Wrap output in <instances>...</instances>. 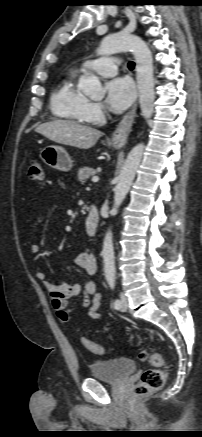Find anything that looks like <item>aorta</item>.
Instances as JSON below:
<instances>
[{
	"mask_svg": "<svg viewBox=\"0 0 202 437\" xmlns=\"http://www.w3.org/2000/svg\"><path fill=\"white\" fill-rule=\"evenodd\" d=\"M121 51H130L134 55L141 114L144 118H150L154 111L155 100L151 51L140 37L120 32L106 36L102 40L97 53L98 55H110ZM79 88L85 95L91 98H101L104 95L101 82L95 75L81 78ZM143 152L144 144L140 143L129 152L125 160L118 183L114 188V204L111 210L113 215L117 214L119 206L122 204L132 185ZM102 255L105 277L113 278L115 276V257L111 230H108L104 237Z\"/></svg>",
	"mask_w": 202,
	"mask_h": 437,
	"instance_id": "762f6f07",
	"label": "aorta"
}]
</instances>
